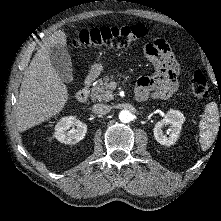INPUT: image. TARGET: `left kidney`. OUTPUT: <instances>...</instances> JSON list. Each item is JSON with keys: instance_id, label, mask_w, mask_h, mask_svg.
Instances as JSON below:
<instances>
[{"instance_id": "left-kidney-1", "label": "left kidney", "mask_w": 221, "mask_h": 221, "mask_svg": "<svg viewBox=\"0 0 221 221\" xmlns=\"http://www.w3.org/2000/svg\"><path fill=\"white\" fill-rule=\"evenodd\" d=\"M185 121L184 115L178 110H170L166 116L155 124L154 137L161 145L171 146L178 139L182 124ZM170 125V128L164 133L162 128Z\"/></svg>"}]
</instances>
